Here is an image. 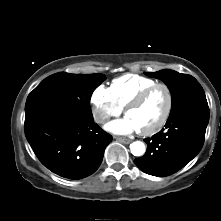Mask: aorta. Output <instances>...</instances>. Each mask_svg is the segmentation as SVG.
Returning a JSON list of instances; mask_svg holds the SVG:
<instances>
[{
  "mask_svg": "<svg viewBox=\"0 0 221 221\" xmlns=\"http://www.w3.org/2000/svg\"><path fill=\"white\" fill-rule=\"evenodd\" d=\"M130 150L134 156H142L145 153L146 148L143 142L135 141L130 144Z\"/></svg>",
  "mask_w": 221,
  "mask_h": 221,
  "instance_id": "aorta-1",
  "label": "aorta"
}]
</instances>
